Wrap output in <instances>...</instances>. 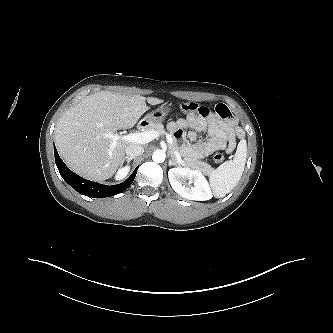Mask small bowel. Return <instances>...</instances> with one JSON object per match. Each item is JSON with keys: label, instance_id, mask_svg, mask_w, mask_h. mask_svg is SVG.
<instances>
[{"label": "small bowel", "instance_id": "1", "mask_svg": "<svg viewBox=\"0 0 333 333\" xmlns=\"http://www.w3.org/2000/svg\"><path fill=\"white\" fill-rule=\"evenodd\" d=\"M168 128L176 138L189 140L182 145V151L198 159L218 150L230 153L235 149L236 141L244 137L235 117L223 103L217 104L214 110L203 107L198 112L189 113L185 118L171 121ZM186 128L191 129L188 134L185 132ZM204 131L208 132V139L197 142L196 133Z\"/></svg>", "mask_w": 333, "mask_h": 333}]
</instances>
